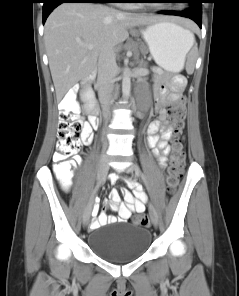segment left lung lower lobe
<instances>
[{
	"label": "left lung lower lobe",
	"instance_id": "obj_1",
	"mask_svg": "<svg viewBox=\"0 0 239 296\" xmlns=\"http://www.w3.org/2000/svg\"><path fill=\"white\" fill-rule=\"evenodd\" d=\"M183 3H189V8L183 11H159L160 14L176 15L186 18H190L195 21L199 27L202 26V9L198 8L195 4L183 1Z\"/></svg>",
	"mask_w": 239,
	"mask_h": 296
}]
</instances>
